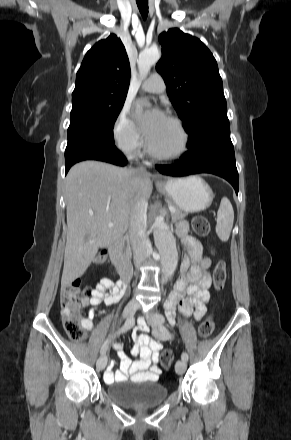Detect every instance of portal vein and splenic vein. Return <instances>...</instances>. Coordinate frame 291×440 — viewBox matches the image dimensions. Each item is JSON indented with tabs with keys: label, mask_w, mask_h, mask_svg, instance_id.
Wrapping results in <instances>:
<instances>
[{
	"label": "portal vein and splenic vein",
	"mask_w": 291,
	"mask_h": 440,
	"mask_svg": "<svg viewBox=\"0 0 291 440\" xmlns=\"http://www.w3.org/2000/svg\"><path fill=\"white\" fill-rule=\"evenodd\" d=\"M169 210H170L171 213H175L176 212V209L174 207H169ZM108 227H113V223H109Z\"/></svg>",
	"instance_id": "portal-vein-and-splenic-vein-1"
}]
</instances>
